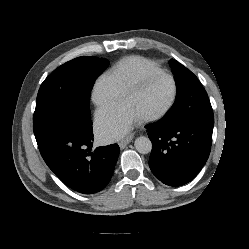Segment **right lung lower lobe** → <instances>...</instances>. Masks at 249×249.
Wrapping results in <instances>:
<instances>
[{
    "mask_svg": "<svg viewBox=\"0 0 249 249\" xmlns=\"http://www.w3.org/2000/svg\"><path fill=\"white\" fill-rule=\"evenodd\" d=\"M41 156L53 173L71 189L92 194L110 181L119 146H93L92 121L54 123L35 132Z\"/></svg>",
    "mask_w": 249,
    "mask_h": 249,
    "instance_id": "98d812e1",
    "label": "right lung lower lobe"
}]
</instances>
